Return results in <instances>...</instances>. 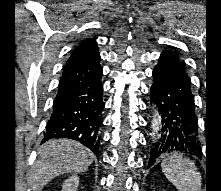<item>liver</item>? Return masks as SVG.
Instances as JSON below:
<instances>
[{
  "label": "liver",
  "mask_w": 221,
  "mask_h": 191,
  "mask_svg": "<svg viewBox=\"0 0 221 191\" xmlns=\"http://www.w3.org/2000/svg\"><path fill=\"white\" fill-rule=\"evenodd\" d=\"M30 185L41 191L53 178L70 172H84L92 164L94 154L79 142L69 139L49 140L39 149Z\"/></svg>",
  "instance_id": "1"
}]
</instances>
